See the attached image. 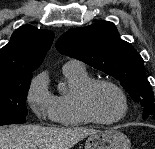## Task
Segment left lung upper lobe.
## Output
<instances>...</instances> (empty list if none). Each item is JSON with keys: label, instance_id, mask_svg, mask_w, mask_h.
<instances>
[{"label": "left lung upper lobe", "instance_id": "obj_1", "mask_svg": "<svg viewBox=\"0 0 155 149\" xmlns=\"http://www.w3.org/2000/svg\"><path fill=\"white\" fill-rule=\"evenodd\" d=\"M67 56L117 78L143 111L142 118L155 119V102L142 57L128 42L120 39L115 25L98 21L90 26L70 29L56 42Z\"/></svg>", "mask_w": 155, "mask_h": 149}]
</instances>
